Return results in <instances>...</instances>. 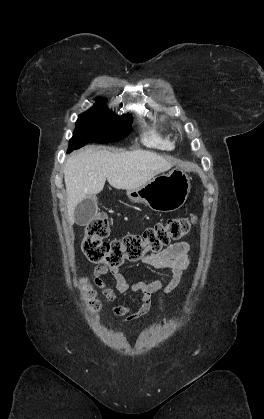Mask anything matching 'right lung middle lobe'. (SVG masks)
Masks as SVG:
<instances>
[{"label":"right lung middle lobe","instance_id":"dd1d6c3e","mask_svg":"<svg viewBox=\"0 0 264 419\" xmlns=\"http://www.w3.org/2000/svg\"><path fill=\"white\" fill-rule=\"evenodd\" d=\"M130 118L131 115L116 116L101 100H97L96 105L79 116L68 152L89 142L109 143L124 138L132 130Z\"/></svg>","mask_w":264,"mask_h":419}]
</instances>
